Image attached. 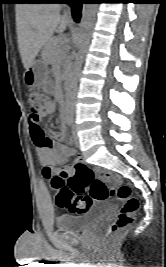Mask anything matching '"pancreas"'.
<instances>
[{
	"label": "pancreas",
	"mask_w": 166,
	"mask_h": 267,
	"mask_svg": "<svg viewBox=\"0 0 166 267\" xmlns=\"http://www.w3.org/2000/svg\"><path fill=\"white\" fill-rule=\"evenodd\" d=\"M62 50L61 40L59 37L51 38L42 51V59L49 64H57L60 59V52Z\"/></svg>",
	"instance_id": "obj_1"
}]
</instances>
